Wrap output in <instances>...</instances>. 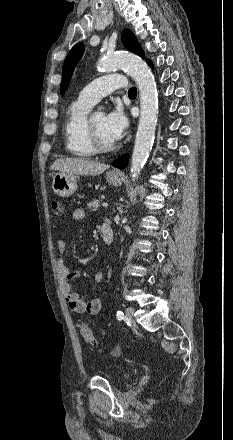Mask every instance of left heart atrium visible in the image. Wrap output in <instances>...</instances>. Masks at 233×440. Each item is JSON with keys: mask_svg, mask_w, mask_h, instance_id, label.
I'll list each match as a JSON object with an SVG mask.
<instances>
[{"mask_svg": "<svg viewBox=\"0 0 233 440\" xmlns=\"http://www.w3.org/2000/svg\"><path fill=\"white\" fill-rule=\"evenodd\" d=\"M128 124V117L118 106L106 115L107 130L115 141L123 136Z\"/></svg>", "mask_w": 233, "mask_h": 440, "instance_id": "39dd6f15", "label": "left heart atrium"}]
</instances>
